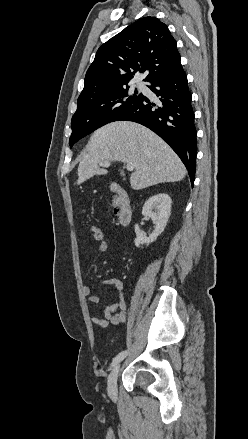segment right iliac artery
Listing matches in <instances>:
<instances>
[{"instance_id":"82829eb1","label":"right iliac artery","mask_w":248,"mask_h":439,"mask_svg":"<svg viewBox=\"0 0 248 439\" xmlns=\"http://www.w3.org/2000/svg\"><path fill=\"white\" fill-rule=\"evenodd\" d=\"M127 354H128V351H127V350L120 352V353H119V354L113 359V361H112V363H111V368H112L113 366H115L117 363H119L121 360H123V359L127 356Z\"/></svg>"}]
</instances>
